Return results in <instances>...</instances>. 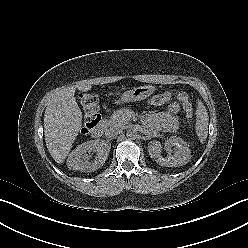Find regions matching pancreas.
<instances>
[{"instance_id":"1","label":"pancreas","mask_w":248,"mask_h":248,"mask_svg":"<svg viewBox=\"0 0 248 248\" xmlns=\"http://www.w3.org/2000/svg\"><path fill=\"white\" fill-rule=\"evenodd\" d=\"M130 112L129 109H119L114 111L112 116L109 120H107V125L109 127H124L126 124L129 123L130 117L128 116V113Z\"/></svg>"}]
</instances>
